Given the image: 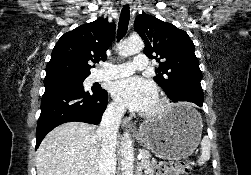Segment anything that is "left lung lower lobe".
I'll use <instances>...</instances> for the list:
<instances>
[{
  "label": "left lung lower lobe",
  "mask_w": 251,
  "mask_h": 175,
  "mask_svg": "<svg viewBox=\"0 0 251 175\" xmlns=\"http://www.w3.org/2000/svg\"><path fill=\"white\" fill-rule=\"evenodd\" d=\"M165 93L172 102H186L177 112L178 117L186 120H194L202 114L200 107H202L204 100L203 91L187 85H179Z\"/></svg>",
  "instance_id": "0a47b994"
}]
</instances>
